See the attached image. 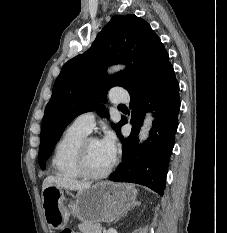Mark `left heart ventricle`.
Here are the masks:
<instances>
[{"mask_svg":"<svg viewBox=\"0 0 227 233\" xmlns=\"http://www.w3.org/2000/svg\"><path fill=\"white\" fill-rule=\"evenodd\" d=\"M87 158L89 167L96 172L105 170L113 158L101 147L98 140H91L88 144Z\"/></svg>","mask_w":227,"mask_h":233,"instance_id":"b2bd125f","label":"left heart ventricle"}]
</instances>
